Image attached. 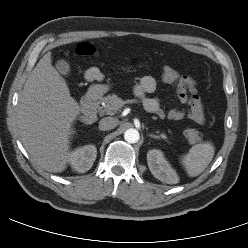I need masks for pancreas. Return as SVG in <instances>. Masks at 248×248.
<instances>
[{"label": "pancreas", "mask_w": 248, "mask_h": 248, "mask_svg": "<svg viewBox=\"0 0 248 248\" xmlns=\"http://www.w3.org/2000/svg\"><path fill=\"white\" fill-rule=\"evenodd\" d=\"M121 99L116 94H109L106 97L103 98V102L105 103L104 108L102 109V112L106 114H112L116 111H118L123 104L120 103ZM161 138L166 139L165 134L160 135Z\"/></svg>", "instance_id": "pancreas-1"}]
</instances>
